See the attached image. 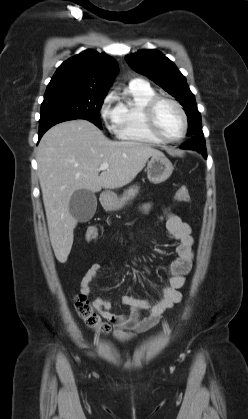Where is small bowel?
Returning a JSON list of instances; mask_svg holds the SVG:
<instances>
[{
  "label": "small bowel",
  "mask_w": 248,
  "mask_h": 419,
  "mask_svg": "<svg viewBox=\"0 0 248 419\" xmlns=\"http://www.w3.org/2000/svg\"><path fill=\"white\" fill-rule=\"evenodd\" d=\"M151 204L143 205L142 210L146 213L150 210ZM165 225L167 231L178 241L175 253L176 258L168 266L169 276L166 284L161 288V297L154 303L145 299L125 295L122 301L131 307L129 314H117L112 310V303L105 297H94L91 303L98 314L114 326L113 339L126 343L136 333H143L154 327L160 320L162 314L173 305L181 301L180 289L184 286L185 276L191 271L194 260L193 237L189 225L182 219L165 210ZM99 236V234H98ZM88 241H94L86 236ZM102 269V263H94L84 274L80 283V293L86 297L91 296V284H95L97 276ZM145 312V316L141 315Z\"/></svg>",
  "instance_id": "obj_1"
}]
</instances>
